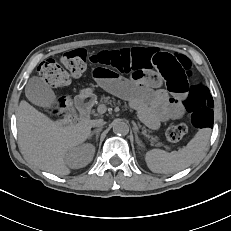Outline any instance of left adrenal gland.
Returning <instances> with one entry per match:
<instances>
[{
    "instance_id": "1",
    "label": "left adrenal gland",
    "mask_w": 231,
    "mask_h": 231,
    "mask_svg": "<svg viewBox=\"0 0 231 231\" xmlns=\"http://www.w3.org/2000/svg\"><path fill=\"white\" fill-rule=\"evenodd\" d=\"M135 140H136V143H137L140 147H143V144L141 143V141H140L139 138H138L137 132H135Z\"/></svg>"
}]
</instances>
